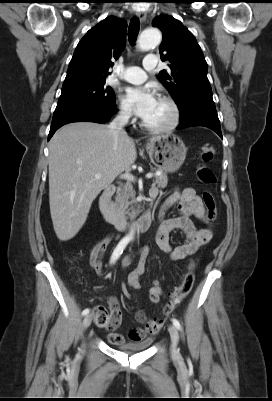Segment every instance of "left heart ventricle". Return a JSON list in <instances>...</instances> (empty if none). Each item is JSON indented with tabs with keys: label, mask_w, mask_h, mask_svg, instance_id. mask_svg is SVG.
I'll return each mask as SVG.
<instances>
[{
	"label": "left heart ventricle",
	"mask_w": 272,
	"mask_h": 401,
	"mask_svg": "<svg viewBox=\"0 0 272 401\" xmlns=\"http://www.w3.org/2000/svg\"><path fill=\"white\" fill-rule=\"evenodd\" d=\"M172 116L170 106L157 98L149 114L143 119L147 124L153 126H162L167 124Z\"/></svg>",
	"instance_id": "obj_1"
}]
</instances>
